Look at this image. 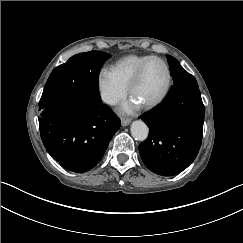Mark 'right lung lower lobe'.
Returning <instances> with one entry per match:
<instances>
[{
    "label": "right lung lower lobe",
    "mask_w": 243,
    "mask_h": 243,
    "mask_svg": "<svg viewBox=\"0 0 243 243\" xmlns=\"http://www.w3.org/2000/svg\"><path fill=\"white\" fill-rule=\"evenodd\" d=\"M40 135L47 152L72 172L91 170L120 127L101 98L69 94L41 110Z\"/></svg>",
    "instance_id": "obj_1"
}]
</instances>
